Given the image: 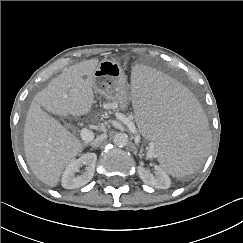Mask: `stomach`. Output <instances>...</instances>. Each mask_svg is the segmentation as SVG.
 Returning <instances> with one entry per match:
<instances>
[{
  "label": "stomach",
  "instance_id": "1",
  "mask_svg": "<svg viewBox=\"0 0 243 243\" xmlns=\"http://www.w3.org/2000/svg\"><path fill=\"white\" fill-rule=\"evenodd\" d=\"M126 75L121 66L105 59L94 72V91L112 102L118 103L120 110H126L130 100Z\"/></svg>",
  "mask_w": 243,
  "mask_h": 243
}]
</instances>
